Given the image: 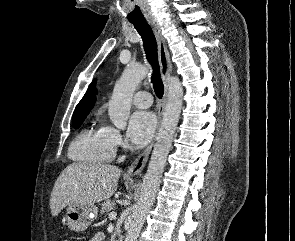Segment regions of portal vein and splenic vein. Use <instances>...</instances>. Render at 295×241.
Segmentation results:
<instances>
[{
    "mask_svg": "<svg viewBox=\"0 0 295 241\" xmlns=\"http://www.w3.org/2000/svg\"><path fill=\"white\" fill-rule=\"evenodd\" d=\"M109 218H110V219H115V218H116V213H115V212H111V213L109 214Z\"/></svg>",
    "mask_w": 295,
    "mask_h": 241,
    "instance_id": "obj_1",
    "label": "portal vein and splenic vein"
}]
</instances>
